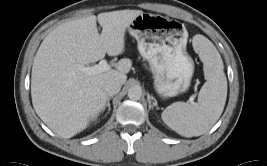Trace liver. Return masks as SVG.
Here are the masks:
<instances>
[{"mask_svg": "<svg viewBox=\"0 0 267 166\" xmlns=\"http://www.w3.org/2000/svg\"><path fill=\"white\" fill-rule=\"evenodd\" d=\"M141 14L127 9L90 15L65 22L44 38L33 60L31 97L37 115L53 132L71 138L86 129L105 108V83L111 79L125 83L130 59L94 75L85 74L79 65L95 63L106 53L122 54L126 29Z\"/></svg>", "mask_w": 267, "mask_h": 166, "instance_id": "6515ba94", "label": "liver"}]
</instances>
